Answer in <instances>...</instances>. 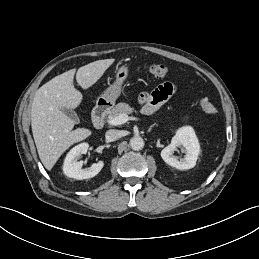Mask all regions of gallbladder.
I'll list each match as a JSON object with an SVG mask.
<instances>
[{
    "mask_svg": "<svg viewBox=\"0 0 259 259\" xmlns=\"http://www.w3.org/2000/svg\"><path fill=\"white\" fill-rule=\"evenodd\" d=\"M62 111L66 116L72 119L75 123H79V118L75 111H73L72 109H66V108L62 109Z\"/></svg>",
    "mask_w": 259,
    "mask_h": 259,
    "instance_id": "obj_1",
    "label": "gallbladder"
}]
</instances>
